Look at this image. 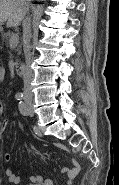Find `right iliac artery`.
I'll return each instance as SVG.
<instances>
[{
	"mask_svg": "<svg viewBox=\"0 0 119 185\" xmlns=\"http://www.w3.org/2000/svg\"><path fill=\"white\" fill-rule=\"evenodd\" d=\"M15 97H16L17 100H21L23 98V94L22 93H17L15 95Z\"/></svg>",
	"mask_w": 119,
	"mask_h": 185,
	"instance_id": "1",
	"label": "right iliac artery"
}]
</instances>
